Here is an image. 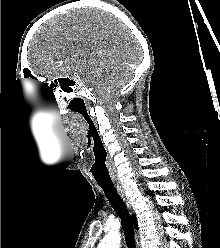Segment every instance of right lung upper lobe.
<instances>
[{
	"instance_id": "obj_1",
	"label": "right lung upper lobe",
	"mask_w": 220,
	"mask_h": 248,
	"mask_svg": "<svg viewBox=\"0 0 220 248\" xmlns=\"http://www.w3.org/2000/svg\"><path fill=\"white\" fill-rule=\"evenodd\" d=\"M133 223L135 225V229H138L137 219H136V216L135 215H133Z\"/></svg>"
}]
</instances>
